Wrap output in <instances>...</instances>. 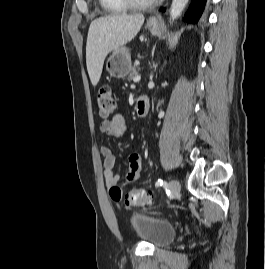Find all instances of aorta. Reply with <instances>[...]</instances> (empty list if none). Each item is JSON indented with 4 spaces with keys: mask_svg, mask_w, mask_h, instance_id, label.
Wrapping results in <instances>:
<instances>
[{
    "mask_svg": "<svg viewBox=\"0 0 265 269\" xmlns=\"http://www.w3.org/2000/svg\"><path fill=\"white\" fill-rule=\"evenodd\" d=\"M188 0H172L170 8V23L174 22L182 13Z\"/></svg>",
    "mask_w": 265,
    "mask_h": 269,
    "instance_id": "aorta-1",
    "label": "aorta"
}]
</instances>
